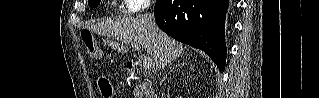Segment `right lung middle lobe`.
I'll return each mask as SVG.
<instances>
[{"mask_svg": "<svg viewBox=\"0 0 319 98\" xmlns=\"http://www.w3.org/2000/svg\"><path fill=\"white\" fill-rule=\"evenodd\" d=\"M100 1L101 0H89L88 4H89L90 7H95V6L100 4Z\"/></svg>", "mask_w": 319, "mask_h": 98, "instance_id": "dd1d6c3e", "label": "right lung middle lobe"}]
</instances>
